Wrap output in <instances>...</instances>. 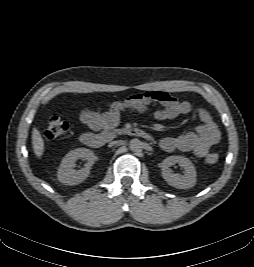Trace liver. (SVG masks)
Returning <instances> with one entry per match:
<instances>
[{
  "label": "liver",
  "instance_id": "1",
  "mask_svg": "<svg viewBox=\"0 0 254 267\" xmlns=\"http://www.w3.org/2000/svg\"><path fill=\"white\" fill-rule=\"evenodd\" d=\"M32 147L36 157L41 158L44 152V140L36 128L32 130Z\"/></svg>",
  "mask_w": 254,
  "mask_h": 267
}]
</instances>
